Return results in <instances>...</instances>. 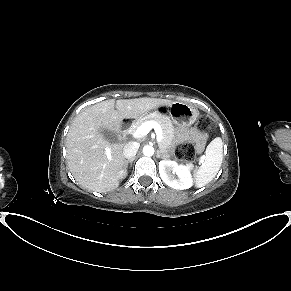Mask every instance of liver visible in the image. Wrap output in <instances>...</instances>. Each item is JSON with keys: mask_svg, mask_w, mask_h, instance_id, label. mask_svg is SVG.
<instances>
[{"mask_svg": "<svg viewBox=\"0 0 291 291\" xmlns=\"http://www.w3.org/2000/svg\"><path fill=\"white\" fill-rule=\"evenodd\" d=\"M172 101L158 98L110 99L84 109L72 122L66 138L67 165L75 180L88 190L109 192L119 186L126 166L124 144L104 138L103 130L118 133L124 119H138Z\"/></svg>", "mask_w": 291, "mask_h": 291, "instance_id": "liver-1", "label": "liver"}]
</instances>
